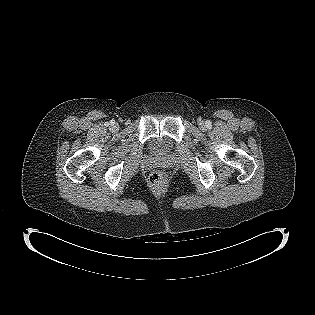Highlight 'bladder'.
Here are the masks:
<instances>
[{"instance_id":"obj_1","label":"bladder","mask_w":315,"mask_h":315,"mask_svg":"<svg viewBox=\"0 0 315 315\" xmlns=\"http://www.w3.org/2000/svg\"><path fill=\"white\" fill-rule=\"evenodd\" d=\"M152 146L155 151L163 153L168 149V141L166 139H157L153 141Z\"/></svg>"}]
</instances>
